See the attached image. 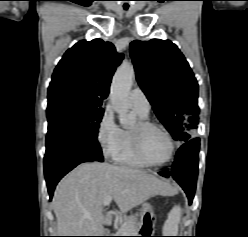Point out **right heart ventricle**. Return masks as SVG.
<instances>
[{
	"mask_svg": "<svg viewBox=\"0 0 248 237\" xmlns=\"http://www.w3.org/2000/svg\"><path fill=\"white\" fill-rule=\"evenodd\" d=\"M134 111L141 120H145L148 117V114H144L136 109H134ZM113 159L116 163L126 166H131V167L147 166L134 153L130 139V129H121V140H120L119 150L116 153V155L113 157Z\"/></svg>",
	"mask_w": 248,
	"mask_h": 237,
	"instance_id": "obj_1",
	"label": "right heart ventricle"
}]
</instances>
